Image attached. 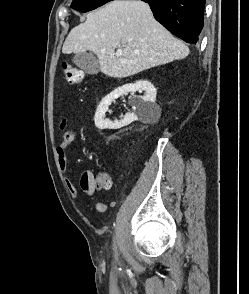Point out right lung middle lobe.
Returning a JSON list of instances; mask_svg holds the SVG:
<instances>
[{
	"label": "right lung middle lobe",
	"instance_id": "obj_1",
	"mask_svg": "<svg viewBox=\"0 0 249 294\" xmlns=\"http://www.w3.org/2000/svg\"><path fill=\"white\" fill-rule=\"evenodd\" d=\"M112 0H73L71 7L81 12L96 9Z\"/></svg>",
	"mask_w": 249,
	"mask_h": 294
}]
</instances>
